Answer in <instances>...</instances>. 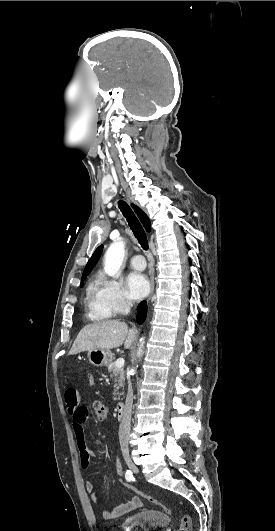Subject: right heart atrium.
Here are the masks:
<instances>
[{
  "mask_svg": "<svg viewBox=\"0 0 275 531\" xmlns=\"http://www.w3.org/2000/svg\"><path fill=\"white\" fill-rule=\"evenodd\" d=\"M92 305L106 317H117L130 309L131 300L118 280L100 275L94 285Z\"/></svg>",
  "mask_w": 275,
  "mask_h": 531,
  "instance_id": "right-heart-atrium-1",
  "label": "right heart atrium"
}]
</instances>
